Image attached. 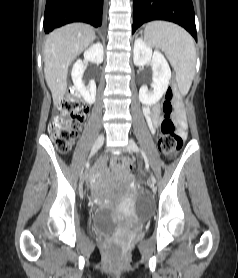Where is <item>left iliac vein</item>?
Listing matches in <instances>:
<instances>
[{
	"mask_svg": "<svg viewBox=\"0 0 238 278\" xmlns=\"http://www.w3.org/2000/svg\"><path fill=\"white\" fill-rule=\"evenodd\" d=\"M127 149L129 152H134V153L138 152V147L132 139L128 140ZM155 183H156L155 177L151 176V181H150L149 185L152 188V190H156Z\"/></svg>",
	"mask_w": 238,
	"mask_h": 278,
	"instance_id": "1",
	"label": "left iliac vein"
}]
</instances>
